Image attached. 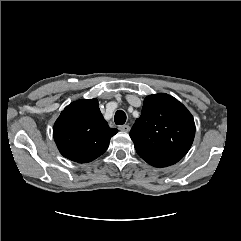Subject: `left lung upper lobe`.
I'll use <instances>...</instances> for the list:
<instances>
[{
	"mask_svg": "<svg viewBox=\"0 0 241 241\" xmlns=\"http://www.w3.org/2000/svg\"><path fill=\"white\" fill-rule=\"evenodd\" d=\"M195 136V124L187 108L168 94L145 98L141 116L130 137L135 149L161 155L183 157Z\"/></svg>",
	"mask_w": 241,
	"mask_h": 241,
	"instance_id": "5c2ea615",
	"label": "left lung upper lobe"
}]
</instances>
